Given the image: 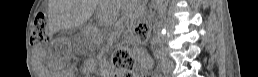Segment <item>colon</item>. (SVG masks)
Wrapping results in <instances>:
<instances>
[{"instance_id": "1", "label": "colon", "mask_w": 258, "mask_h": 77, "mask_svg": "<svg viewBox=\"0 0 258 77\" xmlns=\"http://www.w3.org/2000/svg\"><path fill=\"white\" fill-rule=\"evenodd\" d=\"M148 38L146 24H138L131 29L130 39L118 48L112 58V67L116 71H127L134 66L132 50L137 44L145 42ZM32 40L35 44H47L50 41L48 20L46 15L37 14L32 28Z\"/></svg>"}]
</instances>
